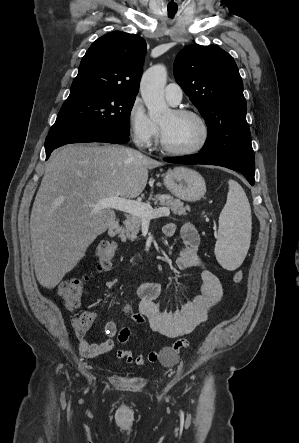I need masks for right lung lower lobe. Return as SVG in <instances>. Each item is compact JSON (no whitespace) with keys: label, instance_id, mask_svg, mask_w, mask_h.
<instances>
[{"label":"right lung lower lobe","instance_id":"1","mask_svg":"<svg viewBox=\"0 0 299 443\" xmlns=\"http://www.w3.org/2000/svg\"><path fill=\"white\" fill-rule=\"evenodd\" d=\"M128 136L119 131L109 129L84 131L66 136L48 135L45 140L46 160L54 149L68 143L106 142L124 144L129 141Z\"/></svg>","mask_w":299,"mask_h":443}]
</instances>
